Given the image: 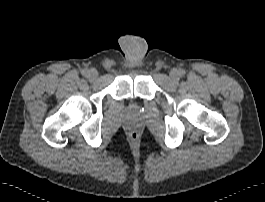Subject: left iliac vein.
Listing matches in <instances>:
<instances>
[{"instance_id":"left-iliac-vein-1","label":"left iliac vein","mask_w":265,"mask_h":202,"mask_svg":"<svg viewBox=\"0 0 265 202\" xmlns=\"http://www.w3.org/2000/svg\"><path fill=\"white\" fill-rule=\"evenodd\" d=\"M170 78H171L172 80H175V79L177 78V73H176L175 70H172V71L170 72Z\"/></svg>"}]
</instances>
